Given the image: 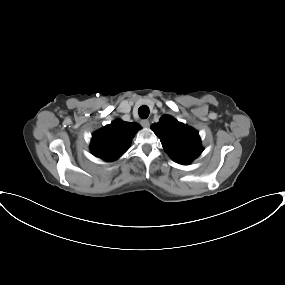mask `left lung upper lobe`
<instances>
[{
  "mask_svg": "<svg viewBox=\"0 0 285 285\" xmlns=\"http://www.w3.org/2000/svg\"><path fill=\"white\" fill-rule=\"evenodd\" d=\"M151 129L159 137L166 153L179 164H189L203 151L199 133L169 115L152 124Z\"/></svg>",
  "mask_w": 285,
  "mask_h": 285,
  "instance_id": "5c2ea615",
  "label": "left lung upper lobe"
}]
</instances>
